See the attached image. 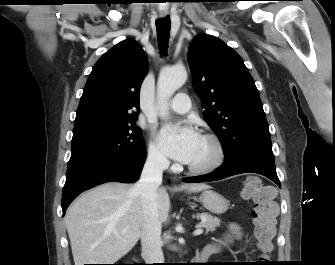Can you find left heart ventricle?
<instances>
[{
    "label": "left heart ventricle",
    "instance_id": "b2bd125f",
    "mask_svg": "<svg viewBox=\"0 0 335 265\" xmlns=\"http://www.w3.org/2000/svg\"><path fill=\"white\" fill-rule=\"evenodd\" d=\"M214 157V145L209 140L201 137L196 151L193 155V158L188 164L192 166H204L210 163L214 159Z\"/></svg>",
    "mask_w": 335,
    "mask_h": 265
}]
</instances>
